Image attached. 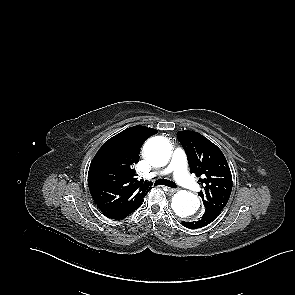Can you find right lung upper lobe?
I'll return each instance as SVG.
<instances>
[{
    "label": "right lung upper lobe",
    "mask_w": 295,
    "mask_h": 295,
    "mask_svg": "<svg viewBox=\"0 0 295 295\" xmlns=\"http://www.w3.org/2000/svg\"><path fill=\"white\" fill-rule=\"evenodd\" d=\"M157 130L133 126L107 140L93 158L88 172L91 196L105 215L137 209L151 190L148 182L137 181L134 165L143 142Z\"/></svg>",
    "instance_id": "obj_1"
}]
</instances>
